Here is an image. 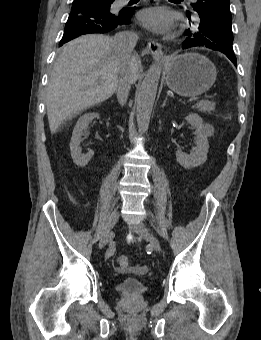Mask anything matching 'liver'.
I'll use <instances>...</instances> for the list:
<instances>
[{
	"mask_svg": "<svg viewBox=\"0 0 261 340\" xmlns=\"http://www.w3.org/2000/svg\"><path fill=\"white\" fill-rule=\"evenodd\" d=\"M128 72L138 79V61L124 59L111 37L84 35L70 41L54 64L48 83L46 106L51 133L71 115L110 98L119 75Z\"/></svg>",
	"mask_w": 261,
	"mask_h": 340,
	"instance_id": "obj_1",
	"label": "liver"
}]
</instances>
